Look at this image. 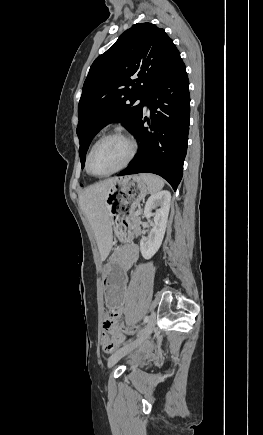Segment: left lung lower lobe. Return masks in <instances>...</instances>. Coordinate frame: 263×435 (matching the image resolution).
Listing matches in <instances>:
<instances>
[{"label": "left lung lower lobe", "instance_id": "0a47b994", "mask_svg": "<svg viewBox=\"0 0 263 435\" xmlns=\"http://www.w3.org/2000/svg\"><path fill=\"white\" fill-rule=\"evenodd\" d=\"M144 105L151 111L149 127L142 115L133 131L140 142L129 168L119 176L149 172L166 179L174 190L183 175L187 152L190 95L189 80L182 59L172 72L148 95Z\"/></svg>", "mask_w": 263, "mask_h": 435}]
</instances>
